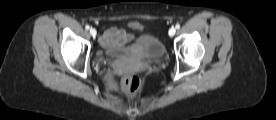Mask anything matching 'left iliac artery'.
Here are the masks:
<instances>
[{"label":"left iliac artery","mask_w":276,"mask_h":120,"mask_svg":"<svg viewBox=\"0 0 276 120\" xmlns=\"http://www.w3.org/2000/svg\"><path fill=\"white\" fill-rule=\"evenodd\" d=\"M175 28L179 29L180 28V24H176Z\"/></svg>","instance_id":"1"}]
</instances>
